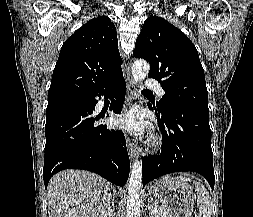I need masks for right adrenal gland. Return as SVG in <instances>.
<instances>
[{
    "label": "right adrenal gland",
    "mask_w": 253,
    "mask_h": 217,
    "mask_svg": "<svg viewBox=\"0 0 253 217\" xmlns=\"http://www.w3.org/2000/svg\"><path fill=\"white\" fill-rule=\"evenodd\" d=\"M113 212H114V209L111 210L109 217H113Z\"/></svg>",
    "instance_id": "right-adrenal-gland-1"
}]
</instances>
